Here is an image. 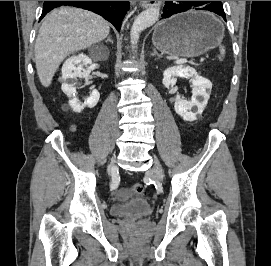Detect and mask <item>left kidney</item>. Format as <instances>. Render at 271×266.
Wrapping results in <instances>:
<instances>
[{"label":"left kidney","mask_w":271,"mask_h":266,"mask_svg":"<svg viewBox=\"0 0 271 266\" xmlns=\"http://www.w3.org/2000/svg\"><path fill=\"white\" fill-rule=\"evenodd\" d=\"M177 77L191 78L193 94L190 101L182 100L177 96L174 103L175 112L185 121H194L197 119V115L202 114L207 105L212 84L206 78L199 76L193 68L183 66L166 69L162 83L169 88L176 84Z\"/></svg>","instance_id":"5707ae66"}]
</instances>
